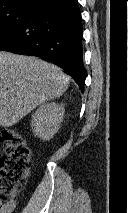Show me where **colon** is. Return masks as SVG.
Returning a JSON list of instances; mask_svg holds the SVG:
<instances>
[{
  "instance_id": "1",
  "label": "colon",
  "mask_w": 128,
  "mask_h": 213,
  "mask_svg": "<svg viewBox=\"0 0 128 213\" xmlns=\"http://www.w3.org/2000/svg\"><path fill=\"white\" fill-rule=\"evenodd\" d=\"M0 142L4 153L0 156V203L12 200L30 174L32 150L24 138L14 130L2 129Z\"/></svg>"
}]
</instances>
